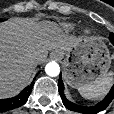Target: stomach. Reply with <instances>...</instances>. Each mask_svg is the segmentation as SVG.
I'll return each mask as SVG.
<instances>
[{
	"label": "stomach",
	"mask_w": 114,
	"mask_h": 114,
	"mask_svg": "<svg viewBox=\"0 0 114 114\" xmlns=\"http://www.w3.org/2000/svg\"><path fill=\"white\" fill-rule=\"evenodd\" d=\"M52 55L62 60L64 79L74 88L106 76L112 61L108 47L97 38L79 39L69 49H57Z\"/></svg>",
	"instance_id": "obj_1"
}]
</instances>
